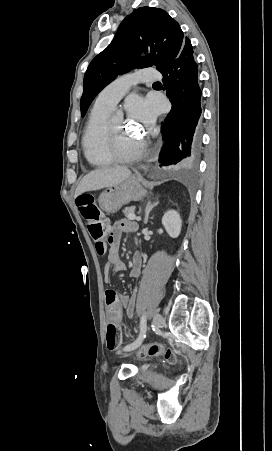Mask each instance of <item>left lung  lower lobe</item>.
Returning a JSON list of instances; mask_svg holds the SVG:
<instances>
[{
	"label": "left lung lower lobe",
	"mask_w": 272,
	"mask_h": 451,
	"mask_svg": "<svg viewBox=\"0 0 272 451\" xmlns=\"http://www.w3.org/2000/svg\"><path fill=\"white\" fill-rule=\"evenodd\" d=\"M164 87L172 103L162 132L166 140L160 162L171 169L193 166L201 141V96L197 63L186 37L178 56L162 71Z\"/></svg>",
	"instance_id": "obj_1"
}]
</instances>
